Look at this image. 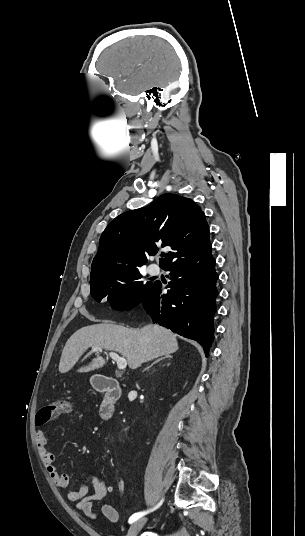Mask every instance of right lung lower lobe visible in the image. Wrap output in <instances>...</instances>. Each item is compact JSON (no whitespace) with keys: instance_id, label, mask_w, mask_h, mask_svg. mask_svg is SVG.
<instances>
[{"instance_id":"1","label":"right lung lower lobe","mask_w":305,"mask_h":536,"mask_svg":"<svg viewBox=\"0 0 305 536\" xmlns=\"http://www.w3.org/2000/svg\"><path fill=\"white\" fill-rule=\"evenodd\" d=\"M210 244L203 250L180 260L166 268L171 271V290L162 294L160 283H153L142 299L153 322L170 328L181 336L196 340L208 356L214 339L213 318L217 310L218 295L215 259Z\"/></svg>"}]
</instances>
